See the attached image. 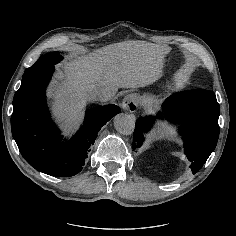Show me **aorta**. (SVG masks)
I'll use <instances>...</instances> for the list:
<instances>
[{
    "mask_svg": "<svg viewBox=\"0 0 236 236\" xmlns=\"http://www.w3.org/2000/svg\"><path fill=\"white\" fill-rule=\"evenodd\" d=\"M114 127L119 133L130 135L135 129V118L124 113L118 114L114 118Z\"/></svg>",
    "mask_w": 236,
    "mask_h": 236,
    "instance_id": "obj_1",
    "label": "aorta"
}]
</instances>
